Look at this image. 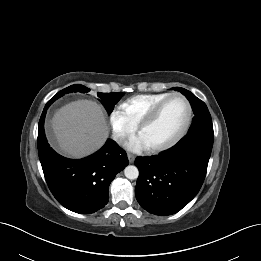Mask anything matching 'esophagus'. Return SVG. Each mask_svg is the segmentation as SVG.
I'll return each instance as SVG.
<instances>
[{
    "instance_id": "34e87169",
    "label": "esophagus",
    "mask_w": 261,
    "mask_h": 261,
    "mask_svg": "<svg viewBox=\"0 0 261 261\" xmlns=\"http://www.w3.org/2000/svg\"><path fill=\"white\" fill-rule=\"evenodd\" d=\"M128 160H129L130 163H133L134 160H135V156L132 155V154H128Z\"/></svg>"
}]
</instances>
